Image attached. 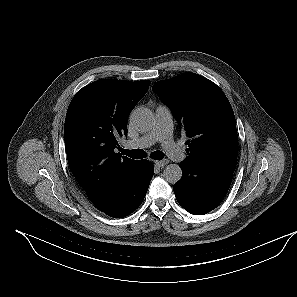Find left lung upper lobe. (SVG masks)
<instances>
[{"label":"left lung upper lobe","mask_w":297,"mask_h":297,"mask_svg":"<svg viewBox=\"0 0 297 297\" xmlns=\"http://www.w3.org/2000/svg\"><path fill=\"white\" fill-rule=\"evenodd\" d=\"M152 90L172 110L189 138L188 156L181 164L197 176L234 172L238 138L234 112L224 92L195 73L158 81Z\"/></svg>","instance_id":"left-lung-upper-lobe-1"}]
</instances>
